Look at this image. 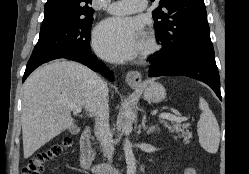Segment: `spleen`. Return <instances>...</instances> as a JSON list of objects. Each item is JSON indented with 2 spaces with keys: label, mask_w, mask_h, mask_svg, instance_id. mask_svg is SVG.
Masks as SVG:
<instances>
[{
  "label": "spleen",
  "mask_w": 249,
  "mask_h": 174,
  "mask_svg": "<svg viewBox=\"0 0 249 174\" xmlns=\"http://www.w3.org/2000/svg\"><path fill=\"white\" fill-rule=\"evenodd\" d=\"M199 108L202 111L197 124L199 143L205 151L216 153L220 143L218 122L205 99H199Z\"/></svg>",
  "instance_id": "obj_1"
}]
</instances>
